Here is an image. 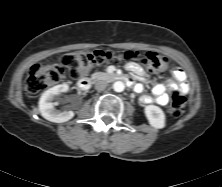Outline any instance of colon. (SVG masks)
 Wrapping results in <instances>:
<instances>
[{
    "instance_id": "obj_1",
    "label": "colon",
    "mask_w": 222,
    "mask_h": 187,
    "mask_svg": "<svg viewBox=\"0 0 222 187\" xmlns=\"http://www.w3.org/2000/svg\"><path fill=\"white\" fill-rule=\"evenodd\" d=\"M135 61L146 66L151 73L158 74L165 71L169 66L166 57L155 52L139 53L127 51L123 54H116L111 51L94 50L66 53L62 56L59 64H37L34 65L25 81V92L30 97L38 96L46 88L62 81L66 76L81 81L105 64L112 60ZM186 96L175 91L171 96L170 113L173 116H180L186 106Z\"/></svg>"
}]
</instances>
